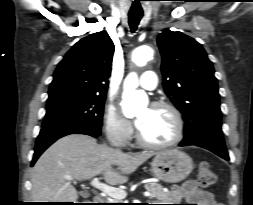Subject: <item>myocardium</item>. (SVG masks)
Returning <instances> with one entry per match:
<instances>
[{
  "label": "myocardium",
  "mask_w": 253,
  "mask_h": 205,
  "mask_svg": "<svg viewBox=\"0 0 253 205\" xmlns=\"http://www.w3.org/2000/svg\"><path fill=\"white\" fill-rule=\"evenodd\" d=\"M150 107L163 108V109L168 110L172 114L174 121H175V126H176L175 135L171 140H169L167 142L152 143V142L145 140L141 136V134L137 128L136 133H135V137H136L137 142L141 146H143L145 148H149V149H165V148H169V147H172V146H175L176 144H178L183 139L184 132H185V124H184V120H183L180 110L175 105H173L172 103L167 102V101H155L151 104Z\"/></svg>",
  "instance_id": "myocardium-1"
}]
</instances>
